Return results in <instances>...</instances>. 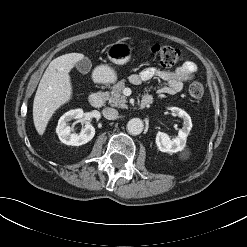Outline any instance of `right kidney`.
Wrapping results in <instances>:
<instances>
[{"mask_svg": "<svg viewBox=\"0 0 247 247\" xmlns=\"http://www.w3.org/2000/svg\"><path fill=\"white\" fill-rule=\"evenodd\" d=\"M83 117L82 109H75L66 112L58 121L56 133L62 143L72 146H80L89 142L95 135V128L90 123H86L80 134L70 133L71 128L68 125L73 119H81Z\"/></svg>", "mask_w": 247, "mask_h": 247, "instance_id": "right-kidney-1", "label": "right kidney"}]
</instances>
